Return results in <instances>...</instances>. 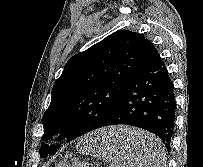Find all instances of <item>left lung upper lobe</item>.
<instances>
[{
	"label": "left lung upper lobe",
	"instance_id": "5c2ea615",
	"mask_svg": "<svg viewBox=\"0 0 203 167\" xmlns=\"http://www.w3.org/2000/svg\"><path fill=\"white\" fill-rule=\"evenodd\" d=\"M155 47L142 34L119 30L66 63L42 117L43 140H73L99 128L116 110L135 71ZM55 145L42 144L41 157Z\"/></svg>",
	"mask_w": 203,
	"mask_h": 167
}]
</instances>
